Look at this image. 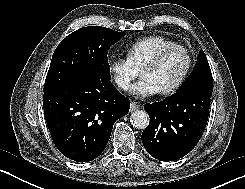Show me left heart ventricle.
<instances>
[{
    "label": "left heart ventricle",
    "instance_id": "left-heart-ventricle-1",
    "mask_svg": "<svg viewBox=\"0 0 245 189\" xmlns=\"http://www.w3.org/2000/svg\"><path fill=\"white\" fill-rule=\"evenodd\" d=\"M187 66V57L181 50L171 51L155 68L145 71L141 77L148 79L159 92L176 83Z\"/></svg>",
    "mask_w": 245,
    "mask_h": 189
}]
</instances>
